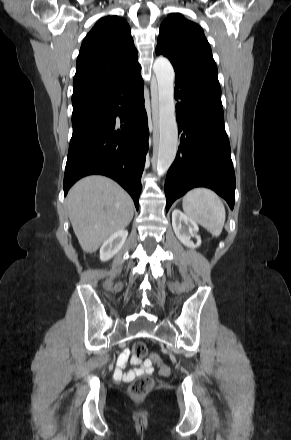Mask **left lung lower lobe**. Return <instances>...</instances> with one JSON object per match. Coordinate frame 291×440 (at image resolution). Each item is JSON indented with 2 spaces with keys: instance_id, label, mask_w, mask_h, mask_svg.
I'll use <instances>...</instances> for the list:
<instances>
[{
  "instance_id": "0a47b994",
  "label": "left lung lower lobe",
  "mask_w": 291,
  "mask_h": 440,
  "mask_svg": "<svg viewBox=\"0 0 291 440\" xmlns=\"http://www.w3.org/2000/svg\"><path fill=\"white\" fill-rule=\"evenodd\" d=\"M180 145L165 182L166 211L194 187H207L234 207L235 173L224 127L221 88L175 75Z\"/></svg>"
}]
</instances>
